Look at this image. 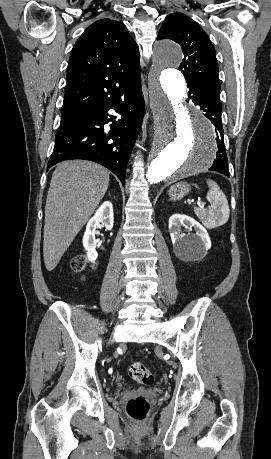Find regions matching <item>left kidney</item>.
I'll list each match as a JSON object with an SVG mask.
<instances>
[{"instance_id": "1", "label": "left kidney", "mask_w": 271, "mask_h": 459, "mask_svg": "<svg viewBox=\"0 0 271 459\" xmlns=\"http://www.w3.org/2000/svg\"><path fill=\"white\" fill-rule=\"evenodd\" d=\"M181 226L184 228H194L195 235H183L181 233ZM169 231L176 255H179L181 259H187V257H193L198 255L200 249H210L211 239L206 231L199 222L185 216V214H173L169 218Z\"/></svg>"}]
</instances>
